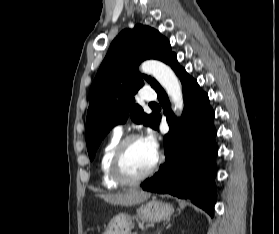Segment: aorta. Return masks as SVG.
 Wrapping results in <instances>:
<instances>
[{"mask_svg":"<svg viewBox=\"0 0 279 234\" xmlns=\"http://www.w3.org/2000/svg\"><path fill=\"white\" fill-rule=\"evenodd\" d=\"M141 71L155 77L170 97L174 111L180 115L184 107L183 95L181 84L172 69L160 61L148 60L141 64Z\"/></svg>","mask_w":279,"mask_h":234,"instance_id":"762f6f07","label":"aorta"}]
</instances>
